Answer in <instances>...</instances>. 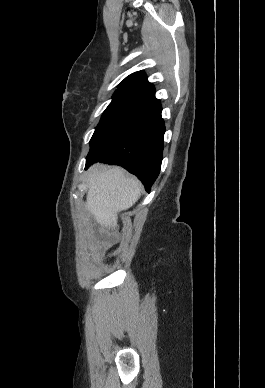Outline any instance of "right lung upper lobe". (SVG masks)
Wrapping results in <instances>:
<instances>
[{
  "mask_svg": "<svg viewBox=\"0 0 265 388\" xmlns=\"http://www.w3.org/2000/svg\"><path fill=\"white\" fill-rule=\"evenodd\" d=\"M114 94L132 96L151 102L155 100L154 86L148 82L142 71L135 72L126 77Z\"/></svg>",
  "mask_w": 265,
  "mask_h": 388,
  "instance_id": "obj_1",
  "label": "right lung upper lobe"
}]
</instances>
